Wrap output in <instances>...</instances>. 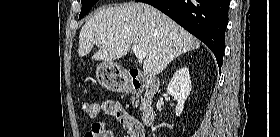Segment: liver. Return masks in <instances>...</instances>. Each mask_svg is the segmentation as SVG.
Listing matches in <instances>:
<instances>
[{"instance_id":"liver-1","label":"liver","mask_w":280,"mask_h":137,"mask_svg":"<svg viewBox=\"0 0 280 137\" xmlns=\"http://www.w3.org/2000/svg\"><path fill=\"white\" fill-rule=\"evenodd\" d=\"M131 44L146 54L143 71L156 76L182 53L198 49L200 42L175 21L144 3H124L95 13L82 27L78 55L86 56L94 46L93 60L113 62L125 56Z\"/></svg>"}]
</instances>
